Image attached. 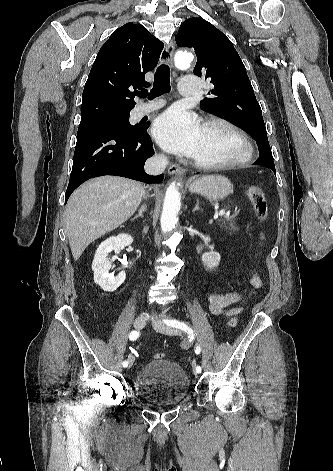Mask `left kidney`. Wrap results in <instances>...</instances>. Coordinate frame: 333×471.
<instances>
[{
  "mask_svg": "<svg viewBox=\"0 0 333 471\" xmlns=\"http://www.w3.org/2000/svg\"><path fill=\"white\" fill-rule=\"evenodd\" d=\"M220 259V254L213 250L202 255V262L208 270L216 268L219 265Z\"/></svg>",
  "mask_w": 333,
  "mask_h": 471,
  "instance_id": "1",
  "label": "left kidney"
}]
</instances>
